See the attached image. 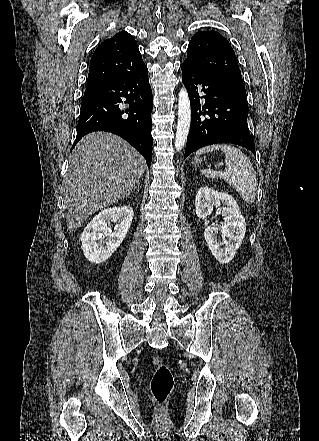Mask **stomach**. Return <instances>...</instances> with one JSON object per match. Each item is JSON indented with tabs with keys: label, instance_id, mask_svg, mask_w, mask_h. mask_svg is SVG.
Listing matches in <instances>:
<instances>
[{
	"label": "stomach",
	"instance_id": "obj_1",
	"mask_svg": "<svg viewBox=\"0 0 319 441\" xmlns=\"http://www.w3.org/2000/svg\"><path fill=\"white\" fill-rule=\"evenodd\" d=\"M199 162H201V159H199V158H195V159H194V163H195V164H197V163H199Z\"/></svg>",
	"mask_w": 319,
	"mask_h": 441
}]
</instances>
